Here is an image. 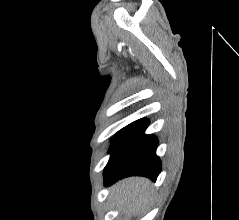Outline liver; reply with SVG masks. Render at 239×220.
Wrapping results in <instances>:
<instances>
[{
	"label": "liver",
	"mask_w": 239,
	"mask_h": 220,
	"mask_svg": "<svg viewBox=\"0 0 239 220\" xmlns=\"http://www.w3.org/2000/svg\"><path fill=\"white\" fill-rule=\"evenodd\" d=\"M149 188L150 182L147 179L132 177L116 183L111 195L120 210L137 215L148 202Z\"/></svg>",
	"instance_id": "obj_1"
}]
</instances>
